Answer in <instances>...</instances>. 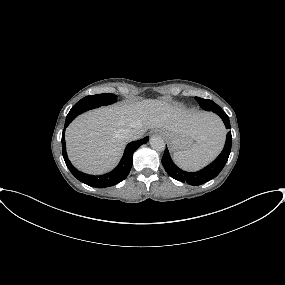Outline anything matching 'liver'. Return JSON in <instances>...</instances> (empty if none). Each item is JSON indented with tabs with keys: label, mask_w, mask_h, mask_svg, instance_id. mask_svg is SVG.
I'll return each mask as SVG.
<instances>
[{
	"label": "liver",
	"mask_w": 285,
	"mask_h": 285,
	"mask_svg": "<svg viewBox=\"0 0 285 285\" xmlns=\"http://www.w3.org/2000/svg\"><path fill=\"white\" fill-rule=\"evenodd\" d=\"M221 127L211 113L186 111L156 99L102 107L78 116L66 129L69 159L81 171L103 174L119 162L127 140L124 132L148 129L186 134L205 141Z\"/></svg>",
	"instance_id": "liver-1"
}]
</instances>
